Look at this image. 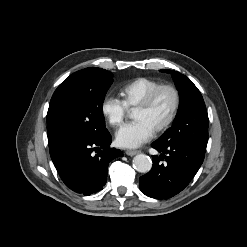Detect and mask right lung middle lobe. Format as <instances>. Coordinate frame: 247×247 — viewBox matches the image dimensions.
<instances>
[{"instance_id": "right-lung-middle-lobe-1", "label": "right lung middle lobe", "mask_w": 247, "mask_h": 247, "mask_svg": "<svg viewBox=\"0 0 247 247\" xmlns=\"http://www.w3.org/2000/svg\"><path fill=\"white\" fill-rule=\"evenodd\" d=\"M112 77L107 70L90 67L71 74L57 87L47 113L49 149L107 131L102 105Z\"/></svg>"}]
</instances>
